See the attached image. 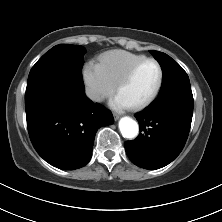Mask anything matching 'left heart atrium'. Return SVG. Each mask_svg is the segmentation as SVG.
Returning <instances> with one entry per match:
<instances>
[{
	"mask_svg": "<svg viewBox=\"0 0 222 222\" xmlns=\"http://www.w3.org/2000/svg\"><path fill=\"white\" fill-rule=\"evenodd\" d=\"M110 106L115 110H124L131 107L129 102H127L120 94H116L111 100H110Z\"/></svg>",
	"mask_w": 222,
	"mask_h": 222,
	"instance_id": "left-heart-atrium-1",
	"label": "left heart atrium"
}]
</instances>
